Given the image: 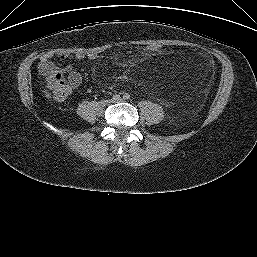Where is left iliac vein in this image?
<instances>
[{"mask_svg":"<svg viewBox=\"0 0 257 257\" xmlns=\"http://www.w3.org/2000/svg\"><path fill=\"white\" fill-rule=\"evenodd\" d=\"M122 101V99L121 98H119V99H117L115 102H121Z\"/></svg>","mask_w":257,"mask_h":257,"instance_id":"obj_1","label":"left iliac vein"}]
</instances>
